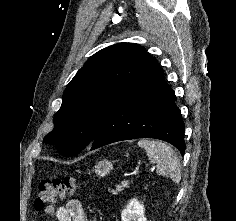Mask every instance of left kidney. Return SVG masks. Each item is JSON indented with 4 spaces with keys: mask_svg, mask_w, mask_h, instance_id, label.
Listing matches in <instances>:
<instances>
[{
    "mask_svg": "<svg viewBox=\"0 0 236 221\" xmlns=\"http://www.w3.org/2000/svg\"><path fill=\"white\" fill-rule=\"evenodd\" d=\"M144 211V205L137 199H133L122 211L121 221H147Z\"/></svg>",
    "mask_w": 236,
    "mask_h": 221,
    "instance_id": "1",
    "label": "left kidney"
}]
</instances>
